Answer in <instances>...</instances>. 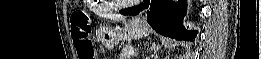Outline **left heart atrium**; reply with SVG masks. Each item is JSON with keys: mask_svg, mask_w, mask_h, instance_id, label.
I'll return each instance as SVG.
<instances>
[{"mask_svg": "<svg viewBox=\"0 0 261 59\" xmlns=\"http://www.w3.org/2000/svg\"><path fill=\"white\" fill-rule=\"evenodd\" d=\"M125 2L126 3H136V2H139V0H126Z\"/></svg>", "mask_w": 261, "mask_h": 59, "instance_id": "left-heart-atrium-1", "label": "left heart atrium"}]
</instances>
